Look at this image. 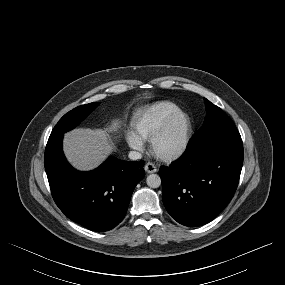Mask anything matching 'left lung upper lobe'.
Wrapping results in <instances>:
<instances>
[{
	"mask_svg": "<svg viewBox=\"0 0 285 285\" xmlns=\"http://www.w3.org/2000/svg\"><path fill=\"white\" fill-rule=\"evenodd\" d=\"M205 100L207 115L200 130L191 139L188 149L225 141L241 140L231 118L218 106Z\"/></svg>",
	"mask_w": 285,
	"mask_h": 285,
	"instance_id": "left-lung-upper-lobe-1",
	"label": "left lung upper lobe"
}]
</instances>
